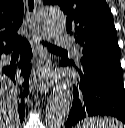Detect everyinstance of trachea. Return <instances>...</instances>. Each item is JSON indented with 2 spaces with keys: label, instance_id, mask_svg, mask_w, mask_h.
I'll list each match as a JSON object with an SVG mask.
<instances>
[{
  "label": "trachea",
  "instance_id": "1",
  "mask_svg": "<svg viewBox=\"0 0 125 128\" xmlns=\"http://www.w3.org/2000/svg\"><path fill=\"white\" fill-rule=\"evenodd\" d=\"M41 43L43 44V46H46L49 51H66V50L58 48L54 45H50V44H48L47 42H44V41H41Z\"/></svg>",
  "mask_w": 125,
  "mask_h": 128
}]
</instances>
